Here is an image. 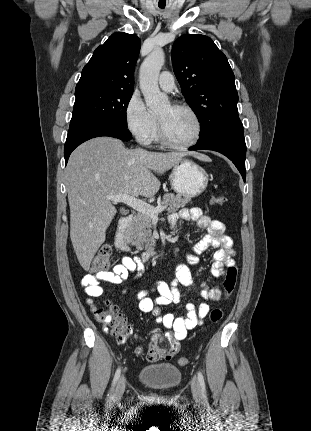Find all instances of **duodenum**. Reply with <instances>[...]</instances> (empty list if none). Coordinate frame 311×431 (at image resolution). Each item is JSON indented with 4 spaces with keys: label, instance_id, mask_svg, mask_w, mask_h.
Listing matches in <instances>:
<instances>
[{
    "label": "duodenum",
    "instance_id": "410a0bca",
    "mask_svg": "<svg viewBox=\"0 0 311 431\" xmlns=\"http://www.w3.org/2000/svg\"><path fill=\"white\" fill-rule=\"evenodd\" d=\"M132 220H133L132 215L124 216L120 220L118 229H117L116 234H115V239H114L115 246L119 250L124 251V252H127L130 250L129 245L127 244L126 239H125V234H126L127 229L129 228V226L131 225ZM158 254H159V252L150 250V251H146L143 254V257L145 259H148V258L157 256Z\"/></svg>",
    "mask_w": 311,
    "mask_h": 431
}]
</instances>
